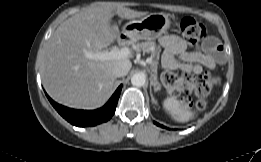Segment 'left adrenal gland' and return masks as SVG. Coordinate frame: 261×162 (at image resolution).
Masks as SVG:
<instances>
[{"instance_id":"a2214340","label":"left adrenal gland","mask_w":261,"mask_h":162,"mask_svg":"<svg viewBox=\"0 0 261 162\" xmlns=\"http://www.w3.org/2000/svg\"><path fill=\"white\" fill-rule=\"evenodd\" d=\"M154 84H153V81H152V79H151V82H150V96H151V100H152V102L154 103V104H157V100L154 98V96H153V93H152V86H153Z\"/></svg>"}]
</instances>
